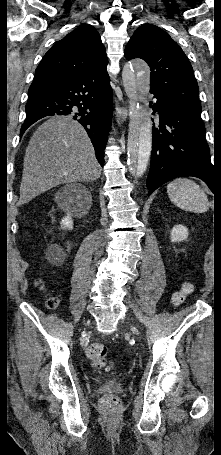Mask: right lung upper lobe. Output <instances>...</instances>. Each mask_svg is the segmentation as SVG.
Returning a JSON list of instances; mask_svg holds the SVG:
<instances>
[{
    "mask_svg": "<svg viewBox=\"0 0 221 455\" xmlns=\"http://www.w3.org/2000/svg\"><path fill=\"white\" fill-rule=\"evenodd\" d=\"M107 65L105 47L97 30L83 24L58 41L43 57L29 88V97L45 92L58 82Z\"/></svg>",
    "mask_w": 221,
    "mask_h": 455,
    "instance_id": "cb5924a9",
    "label": "right lung upper lobe"
}]
</instances>
